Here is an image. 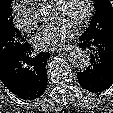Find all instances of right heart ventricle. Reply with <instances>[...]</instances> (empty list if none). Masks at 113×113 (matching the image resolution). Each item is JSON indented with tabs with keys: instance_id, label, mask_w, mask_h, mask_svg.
Masks as SVG:
<instances>
[{
	"instance_id": "1",
	"label": "right heart ventricle",
	"mask_w": 113,
	"mask_h": 113,
	"mask_svg": "<svg viewBox=\"0 0 113 113\" xmlns=\"http://www.w3.org/2000/svg\"><path fill=\"white\" fill-rule=\"evenodd\" d=\"M52 0H29L28 2L36 9L42 10L46 8Z\"/></svg>"
}]
</instances>
